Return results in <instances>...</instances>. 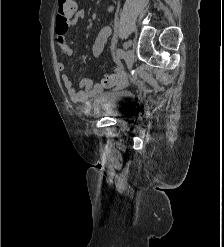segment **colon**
<instances>
[{
    "instance_id": "1",
    "label": "colon",
    "mask_w": 224,
    "mask_h": 247,
    "mask_svg": "<svg viewBox=\"0 0 224 247\" xmlns=\"http://www.w3.org/2000/svg\"><path fill=\"white\" fill-rule=\"evenodd\" d=\"M77 10L76 0H58V9L56 15V31L65 33L70 22ZM122 80V75L120 73H113L106 76L102 84L105 87H111Z\"/></svg>"
}]
</instances>
